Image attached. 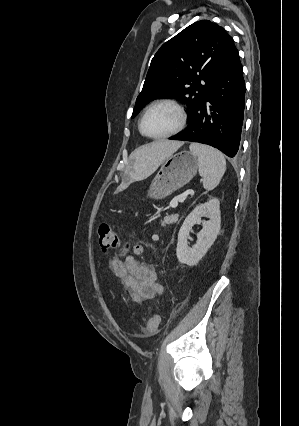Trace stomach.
<instances>
[{"instance_id": "stomach-1", "label": "stomach", "mask_w": 299, "mask_h": 426, "mask_svg": "<svg viewBox=\"0 0 299 426\" xmlns=\"http://www.w3.org/2000/svg\"><path fill=\"white\" fill-rule=\"evenodd\" d=\"M199 162L197 156L190 152L171 155L162 164L154 178L148 197L162 199L187 184L197 173Z\"/></svg>"}]
</instances>
